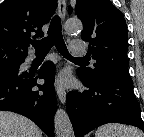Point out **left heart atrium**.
<instances>
[{
  "label": "left heart atrium",
  "instance_id": "39dd6f15",
  "mask_svg": "<svg viewBox=\"0 0 144 137\" xmlns=\"http://www.w3.org/2000/svg\"><path fill=\"white\" fill-rule=\"evenodd\" d=\"M59 81L61 84H66L68 82V76L66 74H62Z\"/></svg>",
  "mask_w": 144,
  "mask_h": 137
}]
</instances>
